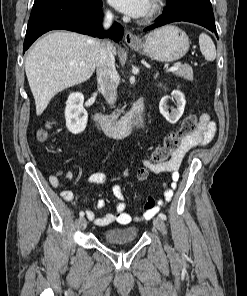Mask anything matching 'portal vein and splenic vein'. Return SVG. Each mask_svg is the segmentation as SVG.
Segmentation results:
<instances>
[{"label": "portal vein and splenic vein", "instance_id": "portal-vein-and-splenic-vein-1", "mask_svg": "<svg viewBox=\"0 0 247 296\" xmlns=\"http://www.w3.org/2000/svg\"><path fill=\"white\" fill-rule=\"evenodd\" d=\"M179 64H175L173 66H171L170 68L166 69L167 72H174L177 71L179 69Z\"/></svg>", "mask_w": 247, "mask_h": 296}]
</instances>
